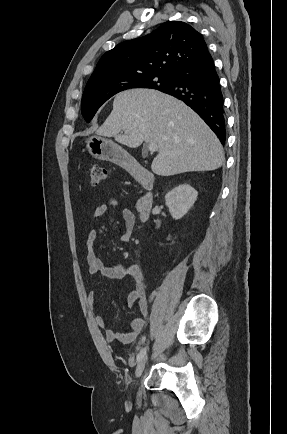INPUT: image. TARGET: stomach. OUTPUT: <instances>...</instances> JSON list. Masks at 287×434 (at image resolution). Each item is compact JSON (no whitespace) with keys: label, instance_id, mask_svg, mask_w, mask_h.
<instances>
[{"label":"stomach","instance_id":"obj_1","mask_svg":"<svg viewBox=\"0 0 287 434\" xmlns=\"http://www.w3.org/2000/svg\"><path fill=\"white\" fill-rule=\"evenodd\" d=\"M86 148L90 155L98 160L109 161L128 168L132 162L131 156L117 144L99 136H89Z\"/></svg>","mask_w":287,"mask_h":434}]
</instances>
